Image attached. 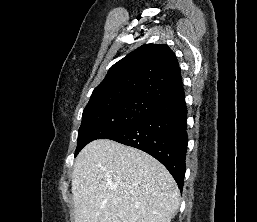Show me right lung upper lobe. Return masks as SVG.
<instances>
[{"mask_svg":"<svg viewBox=\"0 0 257 222\" xmlns=\"http://www.w3.org/2000/svg\"><path fill=\"white\" fill-rule=\"evenodd\" d=\"M183 95L181 70L174 52L165 44H145L109 69L90 101L141 97L161 105Z\"/></svg>","mask_w":257,"mask_h":222,"instance_id":"1","label":"right lung upper lobe"}]
</instances>
